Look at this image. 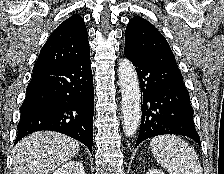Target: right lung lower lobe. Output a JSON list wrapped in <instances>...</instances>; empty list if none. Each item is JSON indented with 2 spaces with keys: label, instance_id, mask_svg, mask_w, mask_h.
Segmentation results:
<instances>
[{
  "label": "right lung lower lobe",
  "instance_id": "right-lung-lower-lobe-1",
  "mask_svg": "<svg viewBox=\"0 0 224 174\" xmlns=\"http://www.w3.org/2000/svg\"><path fill=\"white\" fill-rule=\"evenodd\" d=\"M93 92L90 56L34 71L21 106L15 143L35 131L50 130L66 134L92 151Z\"/></svg>",
  "mask_w": 224,
  "mask_h": 174
}]
</instances>
